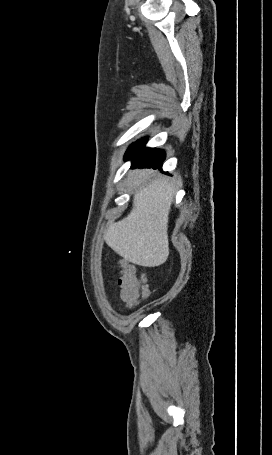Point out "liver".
Masks as SVG:
<instances>
[{"instance_id": "1", "label": "liver", "mask_w": 272, "mask_h": 455, "mask_svg": "<svg viewBox=\"0 0 272 455\" xmlns=\"http://www.w3.org/2000/svg\"><path fill=\"white\" fill-rule=\"evenodd\" d=\"M151 172H142L133 186V208L130 214L111 224L104 235L107 245L127 261L156 267L169 256L168 216L174 188L166 179L148 182Z\"/></svg>"}]
</instances>
